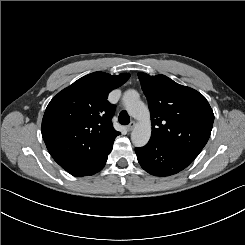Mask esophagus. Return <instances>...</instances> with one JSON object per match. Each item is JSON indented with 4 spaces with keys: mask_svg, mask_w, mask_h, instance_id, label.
<instances>
[{
    "mask_svg": "<svg viewBox=\"0 0 245 245\" xmlns=\"http://www.w3.org/2000/svg\"><path fill=\"white\" fill-rule=\"evenodd\" d=\"M135 125H136V122L135 121H132V122H130L129 125H127L126 129L128 131H132L134 129Z\"/></svg>",
    "mask_w": 245,
    "mask_h": 245,
    "instance_id": "esophagus-1",
    "label": "esophagus"
}]
</instances>
